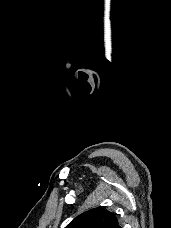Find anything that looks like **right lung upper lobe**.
Listing matches in <instances>:
<instances>
[{
	"instance_id": "right-lung-upper-lobe-1",
	"label": "right lung upper lobe",
	"mask_w": 171,
	"mask_h": 228,
	"mask_svg": "<svg viewBox=\"0 0 171 228\" xmlns=\"http://www.w3.org/2000/svg\"><path fill=\"white\" fill-rule=\"evenodd\" d=\"M66 228H121L116 216L102 207L77 216Z\"/></svg>"
}]
</instances>
